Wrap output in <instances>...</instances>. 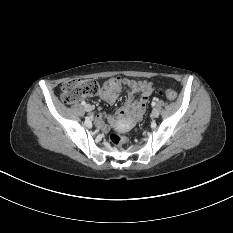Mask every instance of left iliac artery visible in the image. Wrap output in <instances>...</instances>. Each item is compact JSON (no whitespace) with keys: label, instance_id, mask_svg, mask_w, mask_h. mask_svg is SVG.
<instances>
[{"label":"left iliac artery","instance_id":"obj_1","mask_svg":"<svg viewBox=\"0 0 233 233\" xmlns=\"http://www.w3.org/2000/svg\"><path fill=\"white\" fill-rule=\"evenodd\" d=\"M156 105V103L155 102H152V106H155Z\"/></svg>","mask_w":233,"mask_h":233}]
</instances>
